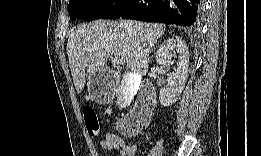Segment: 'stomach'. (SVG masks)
I'll use <instances>...</instances> for the list:
<instances>
[{"mask_svg":"<svg viewBox=\"0 0 261 156\" xmlns=\"http://www.w3.org/2000/svg\"><path fill=\"white\" fill-rule=\"evenodd\" d=\"M99 79L103 81H108L109 85L111 86L108 74L101 72V73H96L95 75L89 77V82H88L89 90L91 85L96 83Z\"/></svg>","mask_w":261,"mask_h":156,"instance_id":"0dacf381","label":"stomach"}]
</instances>
